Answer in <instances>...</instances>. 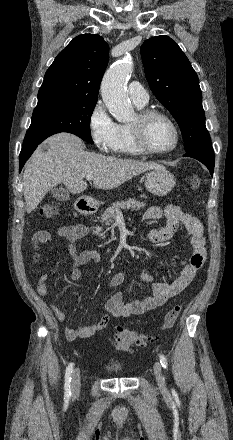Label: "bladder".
<instances>
[{"instance_id":"31cf9c89","label":"bladder","mask_w":233,"mask_h":440,"mask_svg":"<svg viewBox=\"0 0 233 440\" xmlns=\"http://www.w3.org/2000/svg\"><path fill=\"white\" fill-rule=\"evenodd\" d=\"M110 370H111L112 372H114V373H120V372L122 371V369H121L120 367H117V366H112V367L110 368Z\"/></svg>"}]
</instances>
